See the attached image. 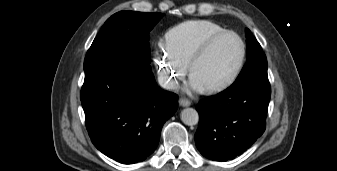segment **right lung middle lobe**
<instances>
[{
    "label": "right lung middle lobe",
    "mask_w": 337,
    "mask_h": 171,
    "mask_svg": "<svg viewBox=\"0 0 337 171\" xmlns=\"http://www.w3.org/2000/svg\"><path fill=\"white\" fill-rule=\"evenodd\" d=\"M162 13L120 11L102 26L84 60V70L96 63L123 59L149 65L151 61L149 32L162 18Z\"/></svg>",
    "instance_id": "obj_1"
}]
</instances>
